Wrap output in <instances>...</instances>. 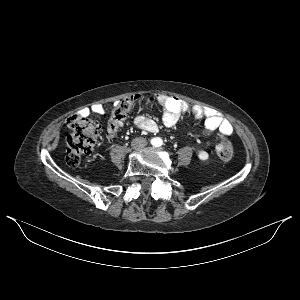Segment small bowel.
<instances>
[{
	"label": "small bowel",
	"instance_id": "1",
	"mask_svg": "<svg viewBox=\"0 0 300 300\" xmlns=\"http://www.w3.org/2000/svg\"><path fill=\"white\" fill-rule=\"evenodd\" d=\"M157 101L165 109L163 115V123L167 127H173L179 121L182 113H190L197 119H204V129L207 132L218 131L220 136H229L233 133L234 128L230 121L223 118L214 109L190 104L178 97L169 95H160L157 97ZM83 115H105L106 108L102 104H97L81 111ZM133 123L136 127L148 132H156L158 130L157 123L142 114L136 115L133 119Z\"/></svg>",
	"mask_w": 300,
	"mask_h": 300
}]
</instances>
